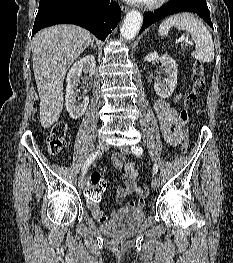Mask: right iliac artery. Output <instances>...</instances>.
Segmentation results:
<instances>
[{"mask_svg":"<svg viewBox=\"0 0 233 263\" xmlns=\"http://www.w3.org/2000/svg\"><path fill=\"white\" fill-rule=\"evenodd\" d=\"M99 157V153L98 152H93L91 154H89L87 160L85 161L83 168H82V175H85L87 173V170L89 168V166L94 162L95 159H97Z\"/></svg>","mask_w":233,"mask_h":263,"instance_id":"1","label":"right iliac artery"}]
</instances>
